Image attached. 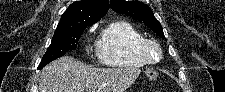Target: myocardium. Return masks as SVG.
<instances>
[{
  "label": "myocardium",
  "instance_id": "f54148a6",
  "mask_svg": "<svg viewBox=\"0 0 225 92\" xmlns=\"http://www.w3.org/2000/svg\"><path fill=\"white\" fill-rule=\"evenodd\" d=\"M140 52L145 62L150 65L159 63L163 55V51L160 45L152 39H144L141 42Z\"/></svg>",
  "mask_w": 225,
  "mask_h": 92
}]
</instances>
